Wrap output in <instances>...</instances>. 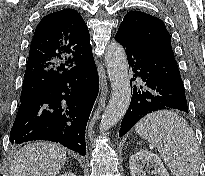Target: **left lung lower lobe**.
I'll use <instances>...</instances> for the list:
<instances>
[{"instance_id": "0a47b994", "label": "left lung lower lobe", "mask_w": 205, "mask_h": 176, "mask_svg": "<svg viewBox=\"0 0 205 176\" xmlns=\"http://www.w3.org/2000/svg\"><path fill=\"white\" fill-rule=\"evenodd\" d=\"M115 40L125 49L133 77L142 81V85L131 87V103L122 119L119 136L125 135L137 121L154 111L166 109L188 113L184 85L175 58L136 46L120 32H117Z\"/></svg>"}]
</instances>
